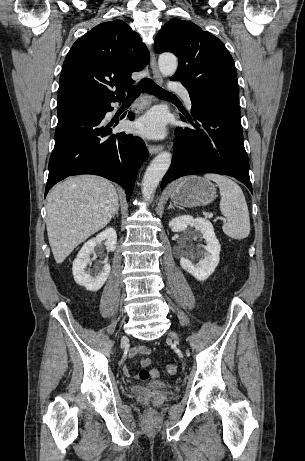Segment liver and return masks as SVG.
I'll list each match as a JSON object with an SVG mask.
<instances>
[{
  "mask_svg": "<svg viewBox=\"0 0 305 461\" xmlns=\"http://www.w3.org/2000/svg\"><path fill=\"white\" fill-rule=\"evenodd\" d=\"M113 184L94 175L71 177L57 184L47 198V233L57 264L80 243L104 228L118 206Z\"/></svg>",
  "mask_w": 305,
  "mask_h": 461,
  "instance_id": "6515ba94",
  "label": "liver"
}]
</instances>
